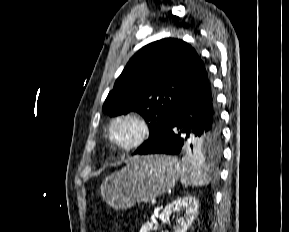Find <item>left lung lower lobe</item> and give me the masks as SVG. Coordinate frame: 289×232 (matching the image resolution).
<instances>
[{
    "label": "left lung lower lobe",
    "mask_w": 289,
    "mask_h": 232,
    "mask_svg": "<svg viewBox=\"0 0 289 232\" xmlns=\"http://www.w3.org/2000/svg\"><path fill=\"white\" fill-rule=\"evenodd\" d=\"M220 128L215 97L204 68L180 98L164 132L137 153H188L193 151L191 145L195 141L211 140L218 135Z\"/></svg>",
    "instance_id": "obj_1"
}]
</instances>
